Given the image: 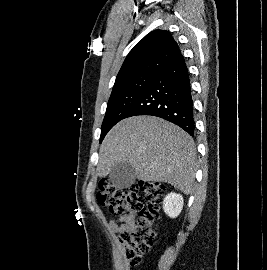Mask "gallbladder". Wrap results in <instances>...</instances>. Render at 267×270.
<instances>
[{
	"instance_id": "bac80fb5",
	"label": "gallbladder",
	"mask_w": 267,
	"mask_h": 270,
	"mask_svg": "<svg viewBox=\"0 0 267 270\" xmlns=\"http://www.w3.org/2000/svg\"><path fill=\"white\" fill-rule=\"evenodd\" d=\"M109 180L116 188H128L136 180L135 168L130 163H117L111 169Z\"/></svg>"
}]
</instances>
